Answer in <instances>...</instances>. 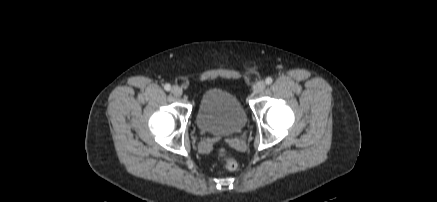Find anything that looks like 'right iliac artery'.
I'll return each instance as SVG.
<instances>
[{"instance_id": "obj_1", "label": "right iliac artery", "mask_w": 437, "mask_h": 202, "mask_svg": "<svg viewBox=\"0 0 437 202\" xmlns=\"http://www.w3.org/2000/svg\"><path fill=\"white\" fill-rule=\"evenodd\" d=\"M164 89L167 90V91H169V90L171 89L170 84H165V85H164Z\"/></svg>"}]
</instances>
